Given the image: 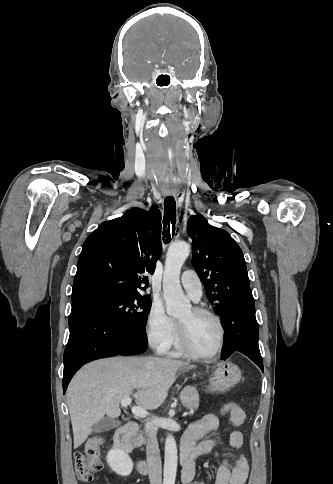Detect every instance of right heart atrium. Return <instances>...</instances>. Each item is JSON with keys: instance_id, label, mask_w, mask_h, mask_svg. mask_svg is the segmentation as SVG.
<instances>
[{"instance_id": "1", "label": "right heart atrium", "mask_w": 333, "mask_h": 484, "mask_svg": "<svg viewBox=\"0 0 333 484\" xmlns=\"http://www.w3.org/2000/svg\"><path fill=\"white\" fill-rule=\"evenodd\" d=\"M175 321L160 302H154L147 313L145 333L148 343L160 352L166 351L174 337Z\"/></svg>"}]
</instances>
